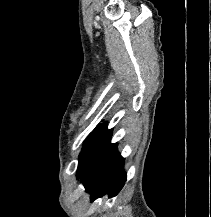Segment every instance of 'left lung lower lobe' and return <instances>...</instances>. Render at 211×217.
Returning a JSON list of instances; mask_svg holds the SVG:
<instances>
[{
	"label": "left lung lower lobe",
	"instance_id": "left-lung-lower-lobe-1",
	"mask_svg": "<svg viewBox=\"0 0 211 217\" xmlns=\"http://www.w3.org/2000/svg\"><path fill=\"white\" fill-rule=\"evenodd\" d=\"M123 166L124 159L117 152V143L109 141L78 176L82 177L85 190L91 193V201L107 193L109 197L118 194L126 181Z\"/></svg>",
	"mask_w": 211,
	"mask_h": 217
}]
</instances>
